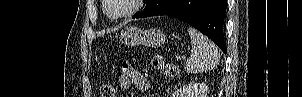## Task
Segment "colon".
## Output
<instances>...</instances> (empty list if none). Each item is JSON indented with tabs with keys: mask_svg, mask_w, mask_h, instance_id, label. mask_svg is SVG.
Listing matches in <instances>:
<instances>
[{
	"mask_svg": "<svg viewBox=\"0 0 302 97\" xmlns=\"http://www.w3.org/2000/svg\"><path fill=\"white\" fill-rule=\"evenodd\" d=\"M152 63L155 68L164 74L170 76H176L178 74V69L175 65L164 62L158 55L153 56ZM100 95L101 97H115V87L111 84L102 85Z\"/></svg>",
	"mask_w": 302,
	"mask_h": 97,
	"instance_id": "5ec220e1",
	"label": "colon"
}]
</instances>
